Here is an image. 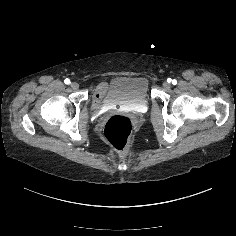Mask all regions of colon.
I'll return each instance as SVG.
<instances>
[{
  "label": "colon",
  "mask_w": 236,
  "mask_h": 236,
  "mask_svg": "<svg viewBox=\"0 0 236 236\" xmlns=\"http://www.w3.org/2000/svg\"><path fill=\"white\" fill-rule=\"evenodd\" d=\"M132 132L133 123L131 119L122 114L110 117L104 127L105 139L121 153L128 150Z\"/></svg>",
  "instance_id": "obj_1"
}]
</instances>
